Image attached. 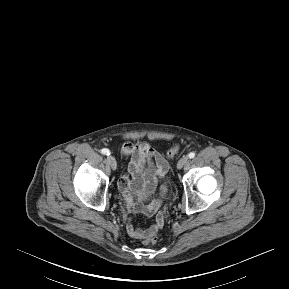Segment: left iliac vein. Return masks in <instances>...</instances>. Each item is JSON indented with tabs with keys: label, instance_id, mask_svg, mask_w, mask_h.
Returning <instances> with one entry per match:
<instances>
[{
	"label": "left iliac vein",
	"instance_id": "left-iliac-vein-1",
	"mask_svg": "<svg viewBox=\"0 0 289 289\" xmlns=\"http://www.w3.org/2000/svg\"><path fill=\"white\" fill-rule=\"evenodd\" d=\"M187 162H188V157L185 156V155L182 156V157L179 159L178 163H177V168H178V169L183 168V166H184Z\"/></svg>",
	"mask_w": 289,
	"mask_h": 289
}]
</instances>
